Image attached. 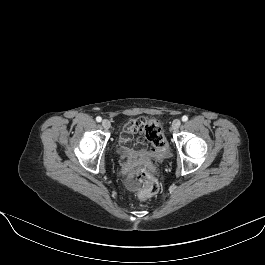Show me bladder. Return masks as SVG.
Masks as SVG:
<instances>
[{"instance_id": "obj_1", "label": "bladder", "mask_w": 265, "mask_h": 265, "mask_svg": "<svg viewBox=\"0 0 265 265\" xmlns=\"http://www.w3.org/2000/svg\"><path fill=\"white\" fill-rule=\"evenodd\" d=\"M121 144H122V143H120V149H121ZM158 155L160 156L161 154H158Z\"/></svg>"}]
</instances>
